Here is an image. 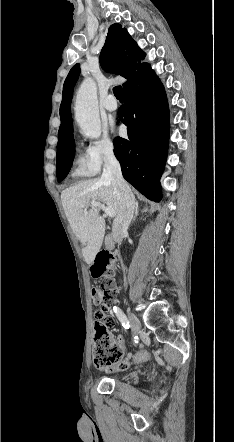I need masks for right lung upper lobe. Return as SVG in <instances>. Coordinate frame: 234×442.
I'll use <instances>...</instances> for the list:
<instances>
[{"label": "right lung upper lobe", "instance_id": "obj_1", "mask_svg": "<svg viewBox=\"0 0 234 442\" xmlns=\"http://www.w3.org/2000/svg\"><path fill=\"white\" fill-rule=\"evenodd\" d=\"M144 57L145 53L138 47L125 28H122L120 24L110 26L100 54V64L105 71L119 74L127 79L123 84V89L132 78L143 74L150 68L149 64L140 62ZM79 73V64H76L70 70L63 85V96L60 105L61 125L57 147L65 144L73 136L70 104Z\"/></svg>", "mask_w": 234, "mask_h": 442}]
</instances>
